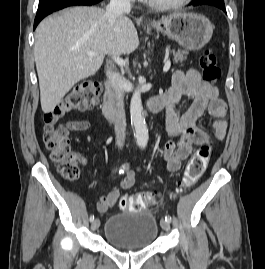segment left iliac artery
Instances as JSON below:
<instances>
[{"instance_id":"1","label":"left iliac artery","mask_w":265,"mask_h":269,"mask_svg":"<svg viewBox=\"0 0 265 269\" xmlns=\"http://www.w3.org/2000/svg\"><path fill=\"white\" fill-rule=\"evenodd\" d=\"M165 220L167 221V222H171V220H172V218H171V216H169V215H166L165 216Z\"/></svg>"}]
</instances>
